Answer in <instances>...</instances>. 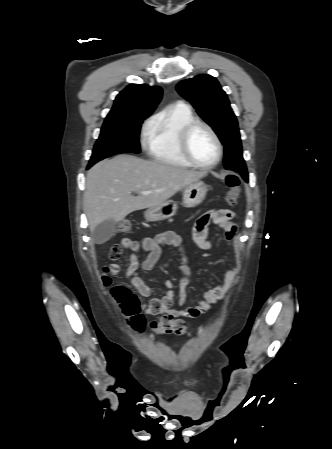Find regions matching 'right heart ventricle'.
Segmentation results:
<instances>
[{"label":"right heart ventricle","mask_w":332,"mask_h":449,"mask_svg":"<svg viewBox=\"0 0 332 449\" xmlns=\"http://www.w3.org/2000/svg\"><path fill=\"white\" fill-rule=\"evenodd\" d=\"M195 120L191 109L178 103L157 115L150 127L146 147L148 154L160 162L176 166H190L179 149L181 129Z\"/></svg>","instance_id":"1"}]
</instances>
